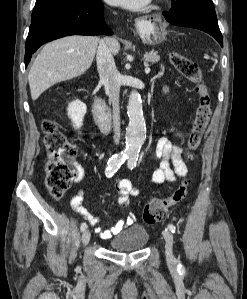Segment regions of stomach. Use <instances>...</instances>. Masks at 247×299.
I'll return each mask as SVG.
<instances>
[{"instance_id": "obj_1", "label": "stomach", "mask_w": 247, "mask_h": 299, "mask_svg": "<svg viewBox=\"0 0 247 299\" xmlns=\"http://www.w3.org/2000/svg\"><path fill=\"white\" fill-rule=\"evenodd\" d=\"M136 27L143 42L147 44H159L166 40L167 31L161 22L141 20Z\"/></svg>"}]
</instances>
